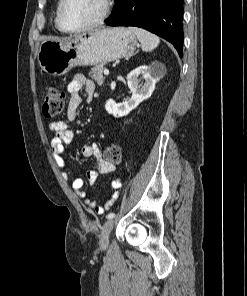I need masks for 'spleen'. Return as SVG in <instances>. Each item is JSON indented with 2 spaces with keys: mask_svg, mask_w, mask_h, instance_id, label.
<instances>
[{
  "mask_svg": "<svg viewBox=\"0 0 247 296\" xmlns=\"http://www.w3.org/2000/svg\"><path fill=\"white\" fill-rule=\"evenodd\" d=\"M128 30L136 35L137 39L141 42L142 49L146 52L152 51L160 43L159 37L144 29L129 27Z\"/></svg>",
  "mask_w": 247,
  "mask_h": 296,
  "instance_id": "spleen-1",
  "label": "spleen"
}]
</instances>
